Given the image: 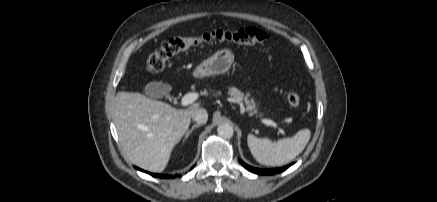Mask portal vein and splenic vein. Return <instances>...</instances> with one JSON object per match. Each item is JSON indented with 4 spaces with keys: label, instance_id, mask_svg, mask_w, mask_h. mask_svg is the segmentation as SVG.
I'll use <instances>...</instances> for the list:
<instances>
[{
    "label": "portal vein and splenic vein",
    "instance_id": "1",
    "mask_svg": "<svg viewBox=\"0 0 437 202\" xmlns=\"http://www.w3.org/2000/svg\"><path fill=\"white\" fill-rule=\"evenodd\" d=\"M197 98H198V94H196V93H188V94H186V95H184L182 97L181 105L182 106H188V105L192 104L194 101H196ZM262 122L264 124H266L267 126L273 127L275 130L278 129V131L280 133H283V130L281 128H279L277 123H275L274 121L269 120V119H263Z\"/></svg>",
    "mask_w": 437,
    "mask_h": 202
}]
</instances>
